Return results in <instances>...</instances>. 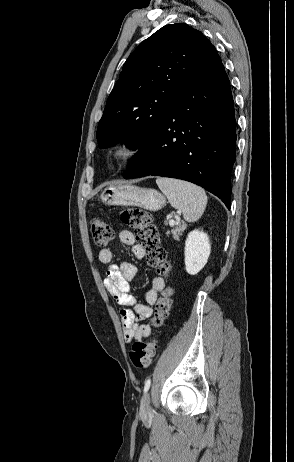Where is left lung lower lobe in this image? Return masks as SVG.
<instances>
[{
  "label": "left lung lower lobe",
  "instance_id": "0a47b994",
  "mask_svg": "<svg viewBox=\"0 0 294 462\" xmlns=\"http://www.w3.org/2000/svg\"><path fill=\"white\" fill-rule=\"evenodd\" d=\"M235 147L234 103L220 62L179 95L156 136L139 148L123 177L154 175L190 181L230 209Z\"/></svg>",
  "mask_w": 294,
  "mask_h": 462
}]
</instances>
